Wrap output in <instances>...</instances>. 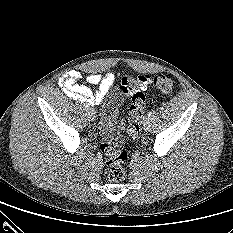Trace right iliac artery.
Here are the masks:
<instances>
[{"instance_id": "1", "label": "right iliac artery", "mask_w": 233, "mask_h": 233, "mask_svg": "<svg viewBox=\"0 0 233 233\" xmlns=\"http://www.w3.org/2000/svg\"><path fill=\"white\" fill-rule=\"evenodd\" d=\"M83 107H84V110H85V111H88V110L90 109V107H89L88 104H84Z\"/></svg>"}]
</instances>
